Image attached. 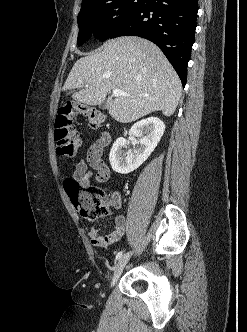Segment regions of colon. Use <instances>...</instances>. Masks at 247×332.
<instances>
[{
  "label": "colon",
  "mask_w": 247,
  "mask_h": 332,
  "mask_svg": "<svg viewBox=\"0 0 247 332\" xmlns=\"http://www.w3.org/2000/svg\"><path fill=\"white\" fill-rule=\"evenodd\" d=\"M75 114L85 115L89 127L93 129L98 128L104 120L103 113L95 107L71 103L62 105L54 122V139L57 152L62 156L75 157L80 146V137L75 132L72 124V117ZM64 185L71 201L84 218L95 220L110 214L107 196L100 188H82L72 178L67 179Z\"/></svg>",
  "instance_id": "1"
}]
</instances>
